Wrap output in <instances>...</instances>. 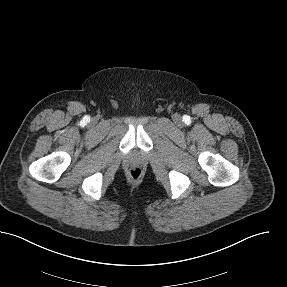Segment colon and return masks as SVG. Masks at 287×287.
Returning a JSON list of instances; mask_svg holds the SVG:
<instances>
[{
  "label": "colon",
  "instance_id": "colon-1",
  "mask_svg": "<svg viewBox=\"0 0 287 287\" xmlns=\"http://www.w3.org/2000/svg\"><path fill=\"white\" fill-rule=\"evenodd\" d=\"M129 175L131 176V178L133 179H138L141 177L142 175V170L139 167H132L129 170Z\"/></svg>",
  "mask_w": 287,
  "mask_h": 287
}]
</instances>
